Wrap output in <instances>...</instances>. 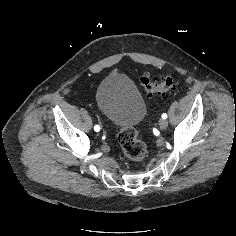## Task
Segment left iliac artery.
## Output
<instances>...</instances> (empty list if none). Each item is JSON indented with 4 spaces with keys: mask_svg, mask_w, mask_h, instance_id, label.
<instances>
[{
    "mask_svg": "<svg viewBox=\"0 0 236 236\" xmlns=\"http://www.w3.org/2000/svg\"><path fill=\"white\" fill-rule=\"evenodd\" d=\"M162 118H163V119H166V118H167V114H166V113H163V114H162Z\"/></svg>",
    "mask_w": 236,
    "mask_h": 236,
    "instance_id": "left-iliac-artery-1",
    "label": "left iliac artery"
}]
</instances>
